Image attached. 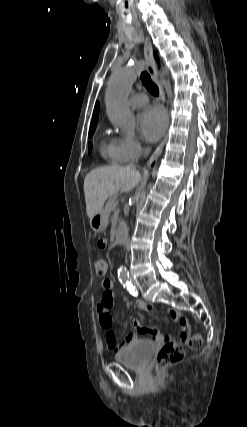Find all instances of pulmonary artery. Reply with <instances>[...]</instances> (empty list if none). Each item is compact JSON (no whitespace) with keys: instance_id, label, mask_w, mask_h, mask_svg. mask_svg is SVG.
<instances>
[{"instance_id":"pulmonary-artery-1","label":"pulmonary artery","mask_w":247,"mask_h":427,"mask_svg":"<svg viewBox=\"0 0 247 427\" xmlns=\"http://www.w3.org/2000/svg\"><path fill=\"white\" fill-rule=\"evenodd\" d=\"M129 103L132 107L139 108L148 103V98L144 94H136L130 98Z\"/></svg>"}]
</instances>
